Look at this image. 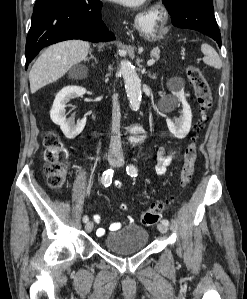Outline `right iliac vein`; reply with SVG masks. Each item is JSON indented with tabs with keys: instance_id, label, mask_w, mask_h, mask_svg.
Returning <instances> with one entry per match:
<instances>
[{
	"instance_id": "right-iliac-vein-1",
	"label": "right iliac vein",
	"mask_w": 247,
	"mask_h": 299,
	"mask_svg": "<svg viewBox=\"0 0 247 299\" xmlns=\"http://www.w3.org/2000/svg\"><path fill=\"white\" fill-rule=\"evenodd\" d=\"M116 160H117V156L116 155L110 154L108 156V161H109L110 164L116 163ZM93 226H94V224H93L92 221L87 222L86 225H85L86 232H88V233L91 232L93 230Z\"/></svg>"
}]
</instances>
